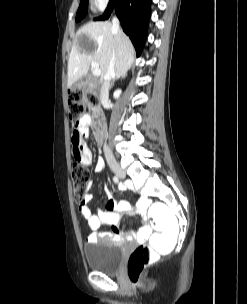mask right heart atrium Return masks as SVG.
Returning <instances> with one entry per match:
<instances>
[{
    "label": "right heart atrium",
    "mask_w": 247,
    "mask_h": 304,
    "mask_svg": "<svg viewBox=\"0 0 247 304\" xmlns=\"http://www.w3.org/2000/svg\"><path fill=\"white\" fill-rule=\"evenodd\" d=\"M110 0H91L92 5L99 10L106 8Z\"/></svg>",
    "instance_id": "d8ad5b80"
}]
</instances>
